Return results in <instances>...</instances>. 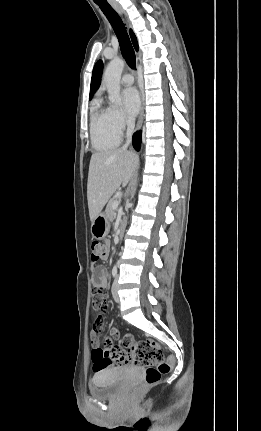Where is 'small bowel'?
I'll use <instances>...</instances> for the list:
<instances>
[{"mask_svg": "<svg viewBox=\"0 0 261 431\" xmlns=\"http://www.w3.org/2000/svg\"><path fill=\"white\" fill-rule=\"evenodd\" d=\"M106 257L107 255L104 258ZM92 282L94 286L91 291L90 300L92 302L94 313L98 317L95 318L93 321L92 327L94 330L90 332V337H91V343L96 350L99 348L98 339H100V336L102 334V329H103L102 327L106 320V317L104 314H106L107 312L106 311L107 296L105 295L104 289L108 285V273L105 267L95 266L93 268ZM110 332L113 336H117L119 334V331L117 328H112ZM110 351H111V359L115 362V365H120L121 363H123L122 358L117 356L116 346H111Z\"/></svg>", "mask_w": 261, "mask_h": 431, "instance_id": "1", "label": "small bowel"}]
</instances>
